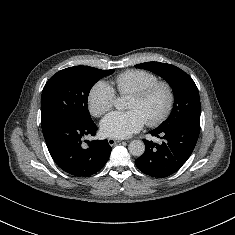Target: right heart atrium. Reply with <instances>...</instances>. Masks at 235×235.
<instances>
[{"label":"right heart atrium","mask_w":235,"mask_h":235,"mask_svg":"<svg viewBox=\"0 0 235 235\" xmlns=\"http://www.w3.org/2000/svg\"><path fill=\"white\" fill-rule=\"evenodd\" d=\"M114 89L105 81L96 82L88 94V107L92 115L102 116L115 104Z\"/></svg>","instance_id":"d8ad5b80"}]
</instances>
